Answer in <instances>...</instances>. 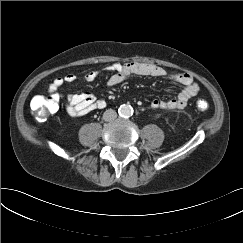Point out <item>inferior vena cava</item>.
Instances as JSON below:
<instances>
[{
	"mask_svg": "<svg viewBox=\"0 0 243 243\" xmlns=\"http://www.w3.org/2000/svg\"><path fill=\"white\" fill-rule=\"evenodd\" d=\"M117 117V113L113 109H108L103 114V119L107 122L114 121Z\"/></svg>",
	"mask_w": 243,
	"mask_h": 243,
	"instance_id": "602c4592",
	"label": "inferior vena cava"
}]
</instances>
